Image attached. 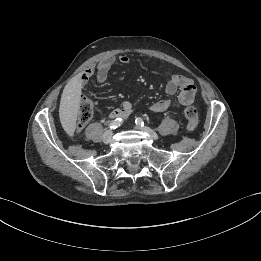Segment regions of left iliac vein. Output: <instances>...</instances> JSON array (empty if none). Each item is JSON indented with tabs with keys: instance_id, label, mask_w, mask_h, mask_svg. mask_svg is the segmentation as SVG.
Listing matches in <instances>:
<instances>
[{
	"instance_id": "obj_1",
	"label": "left iliac vein",
	"mask_w": 261,
	"mask_h": 261,
	"mask_svg": "<svg viewBox=\"0 0 261 261\" xmlns=\"http://www.w3.org/2000/svg\"><path fill=\"white\" fill-rule=\"evenodd\" d=\"M137 129L142 130L146 133H148L150 135V137L154 140L158 139V135L156 132H154L152 129H150L149 127H142V126H136Z\"/></svg>"
}]
</instances>
